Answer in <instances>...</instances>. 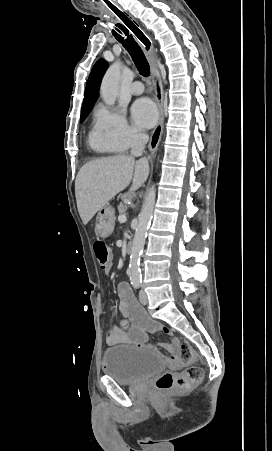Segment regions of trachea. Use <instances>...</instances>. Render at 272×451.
Listing matches in <instances>:
<instances>
[{"label":"trachea","instance_id":"trachea-1","mask_svg":"<svg viewBox=\"0 0 272 451\" xmlns=\"http://www.w3.org/2000/svg\"><path fill=\"white\" fill-rule=\"evenodd\" d=\"M122 21L127 25L128 28L132 31V28H137L135 23H133L129 18L125 17ZM117 27L121 30L119 33H113L114 37L122 43L123 47L128 51L131 55L132 60L135 63V66L139 70V73L144 77L150 74V66L147 62V59L141 50L138 43L134 40L132 35H129V31L123 25L118 24Z\"/></svg>","mask_w":272,"mask_h":451}]
</instances>
